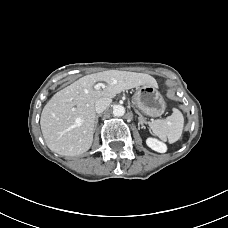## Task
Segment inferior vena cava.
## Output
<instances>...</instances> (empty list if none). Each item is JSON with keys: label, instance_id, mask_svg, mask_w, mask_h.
<instances>
[{"label": "inferior vena cava", "instance_id": "inferior-vena-cava-1", "mask_svg": "<svg viewBox=\"0 0 228 228\" xmlns=\"http://www.w3.org/2000/svg\"><path fill=\"white\" fill-rule=\"evenodd\" d=\"M111 102L112 100L108 98L98 100L95 104L96 113H102L103 111H105Z\"/></svg>", "mask_w": 228, "mask_h": 228}]
</instances>
